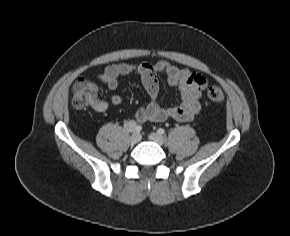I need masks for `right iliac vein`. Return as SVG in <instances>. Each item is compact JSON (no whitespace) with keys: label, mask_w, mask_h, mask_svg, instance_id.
I'll list each match as a JSON object with an SVG mask.
<instances>
[{"label":"right iliac vein","mask_w":290,"mask_h":236,"mask_svg":"<svg viewBox=\"0 0 290 236\" xmlns=\"http://www.w3.org/2000/svg\"><path fill=\"white\" fill-rule=\"evenodd\" d=\"M141 140V135L138 132H135L131 135L130 141L133 144L138 143Z\"/></svg>","instance_id":"obj_1"}]
</instances>
